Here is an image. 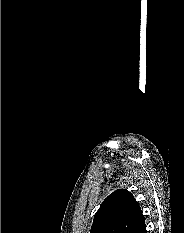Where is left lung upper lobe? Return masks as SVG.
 Returning a JSON list of instances; mask_svg holds the SVG:
<instances>
[{
	"instance_id": "5c2ea615",
	"label": "left lung upper lobe",
	"mask_w": 184,
	"mask_h": 233,
	"mask_svg": "<svg viewBox=\"0 0 184 233\" xmlns=\"http://www.w3.org/2000/svg\"><path fill=\"white\" fill-rule=\"evenodd\" d=\"M145 218L133 195L119 189L100 205L90 233H145Z\"/></svg>"
}]
</instances>
